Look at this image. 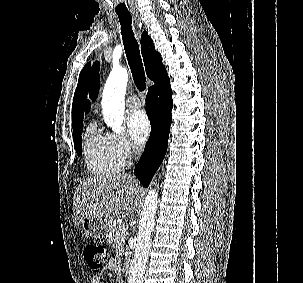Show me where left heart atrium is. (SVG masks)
Masks as SVG:
<instances>
[{"label":"left heart atrium","mask_w":303,"mask_h":283,"mask_svg":"<svg viewBox=\"0 0 303 283\" xmlns=\"http://www.w3.org/2000/svg\"><path fill=\"white\" fill-rule=\"evenodd\" d=\"M127 128L129 136L135 144H144L151 131L147 114L142 110L131 112L127 117Z\"/></svg>","instance_id":"39dd6f15"}]
</instances>
